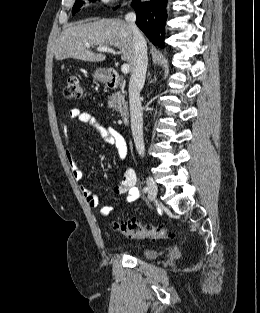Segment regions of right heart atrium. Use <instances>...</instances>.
Here are the masks:
<instances>
[{"label":"right heart atrium","mask_w":260,"mask_h":313,"mask_svg":"<svg viewBox=\"0 0 260 313\" xmlns=\"http://www.w3.org/2000/svg\"><path fill=\"white\" fill-rule=\"evenodd\" d=\"M101 1V3H103V4H110V3H114V2H116V1H118V0H100Z\"/></svg>","instance_id":"right-heart-atrium-1"}]
</instances>
